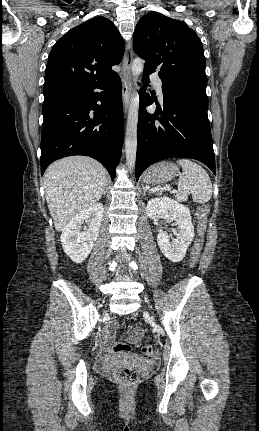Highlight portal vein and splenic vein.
<instances>
[{
	"label": "portal vein and splenic vein",
	"instance_id": "1",
	"mask_svg": "<svg viewBox=\"0 0 259 431\" xmlns=\"http://www.w3.org/2000/svg\"><path fill=\"white\" fill-rule=\"evenodd\" d=\"M167 188H169V187H164V189H167ZM160 189H162V188L157 187V188H153L152 191H158Z\"/></svg>",
	"mask_w": 259,
	"mask_h": 431
}]
</instances>
